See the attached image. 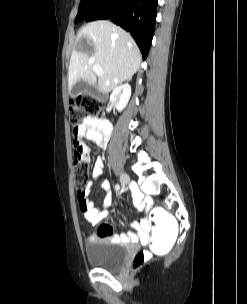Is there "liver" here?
Returning a JSON list of instances; mask_svg holds the SVG:
<instances>
[{"instance_id": "1", "label": "liver", "mask_w": 247, "mask_h": 304, "mask_svg": "<svg viewBox=\"0 0 247 304\" xmlns=\"http://www.w3.org/2000/svg\"><path fill=\"white\" fill-rule=\"evenodd\" d=\"M87 45V49L84 45ZM141 53L131 35L109 21L88 23L78 33L68 70V89L80 79L96 87L93 65L104 74L98 77L97 89L102 93L131 80L141 63Z\"/></svg>"}]
</instances>
